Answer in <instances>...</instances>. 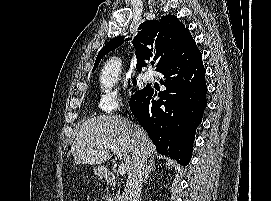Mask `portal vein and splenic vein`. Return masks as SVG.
I'll return each instance as SVG.
<instances>
[{"mask_svg":"<svg viewBox=\"0 0 271 201\" xmlns=\"http://www.w3.org/2000/svg\"><path fill=\"white\" fill-rule=\"evenodd\" d=\"M96 147L103 148V145L98 143L96 145ZM109 149L115 153V155L118 159H122V153L120 152V150L117 147L111 146V147H109ZM118 172L120 175H124L126 173V165L123 162H121L119 164Z\"/></svg>","mask_w":271,"mask_h":201,"instance_id":"portal-vein-and-splenic-vein-1","label":"portal vein and splenic vein"}]
</instances>
